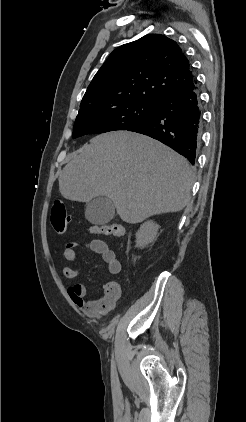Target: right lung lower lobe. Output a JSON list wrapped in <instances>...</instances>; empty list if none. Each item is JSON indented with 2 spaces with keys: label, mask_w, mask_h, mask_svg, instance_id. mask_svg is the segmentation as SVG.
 I'll return each instance as SVG.
<instances>
[{
  "label": "right lung lower lobe",
  "mask_w": 246,
  "mask_h": 422,
  "mask_svg": "<svg viewBox=\"0 0 246 422\" xmlns=\"http://www.w3.org/2000/svg\"><path fill=\"white\" fill-rule=\"evenodd\" d=\"M155 113L130 128L171 147L195 164L201 141L202 116L197 86L166 95L155 102Z\"/></svg>",
  "instance_id": "right-lung-lower-lobe-1"
}]
</instances>
